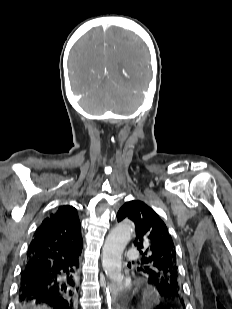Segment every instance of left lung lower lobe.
Returning a JSON list of instances; mask_svg holds the SVG:
<instances>
[{"mask_svg":"<svg viewBox=\"0 0 232 309\" xmlns=\"http://www.w3.org/2000/svg\"><path fill=\"white\" fill-rule=\"evenodd\" d=\"M155 309H169V307L164 302H161L159 305L155 307Z\"/></svg>","mask_w":232,"mask_h":309,"instance_id":"0a47b994","label":"left lung lower lobe"}]
</instances>
